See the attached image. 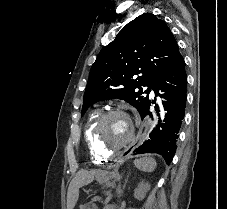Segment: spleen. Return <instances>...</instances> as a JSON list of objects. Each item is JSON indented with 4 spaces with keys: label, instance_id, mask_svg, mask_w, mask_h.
I'll return each instance as SVG.
<instances>
[{
    "label": "spleen",
    "instance_id": "obj_1",
    "mask_svg": "<svg viewBox=\"0 0 227 209\" xmlns=\"http://www.w3.org/2000/svg\"><path fill=\"white\" fill-rule=\"evenodd\" d=\"M134 165L137 169H140V171L153 173L154 169H156L157 163L153 157H142V159H135Z\"/></svg>",
    "mask_w": 227,
    "mask_h": 209
}]
</instances>
